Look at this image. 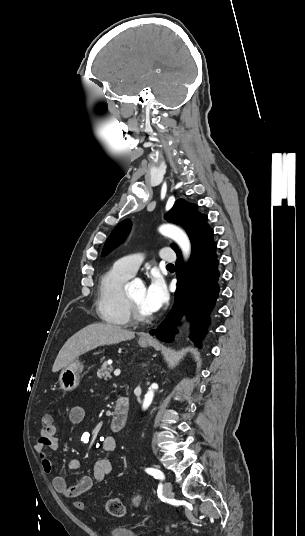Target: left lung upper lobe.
<instances>
[{
  "instance_id": "left-lung-upper-lobe-1",
  "label": "left lung upper lobe",
  "mask_w": 305,
  "mask_h": 536,
  "mask_svg": "<svg viewBox=\"0 0 305 536\" xmlns=\"http://www.w3.org/2000/svg\"><path fill=\"white\" fill-rule=\"evenodd\" d=\"M165 219L184 227L192 245L210 229L207 224V216L199 213L196 205L190 204L183 199L175 202L172 209L166 214ZM130 228L131 223L129 220L120 222L108 237L101 256L107 255L111 250L119 246L127 237ZM171 247L177 255L181 254L175 244H171Z\"/></svg>"
}]
</instances>
